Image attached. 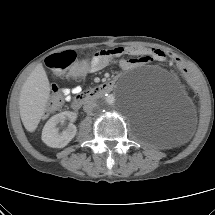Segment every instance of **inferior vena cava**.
Here are the masks:
<instances>
[{
	"mask_svg": "<svg viewBox=\"0 0 215 215\" xmlns=\"http://www.w3.org/2000/svg\"><path fill=\"white\" fill-rule=\"evenodd\" d=\"M97 106V103L95 101L89 102L84 105L85 112L90 113L95 107Z\"/></svg>",
	"mask_w": 215,
	"mask_h": 215,
	"instance_id": "1",
	"label": "inferior vena cava"
}]
</instances>
